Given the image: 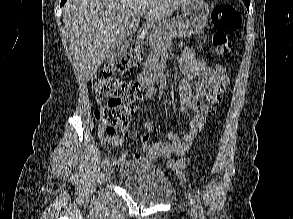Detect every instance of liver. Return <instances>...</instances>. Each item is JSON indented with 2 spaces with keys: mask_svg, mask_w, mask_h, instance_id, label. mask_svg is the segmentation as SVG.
<instances>
[{
  "mask_svg": "<svg viewBox=\"0 0 293 219\" xmlns=\"http://www.w3.org/2000/svg\"><path fill=\"white\" fill-rule=\"evenodd\" d=\"M187 0H67L63 22L71 54L84 80L93 78L119 35L132 36L138 13L148 22L170 16Z\"/></svg>",
  "mask_w": 293,
  "mask_h": 219,
  "instance_id": "obj_1",
  "label": "liver"
}]
</instances>
